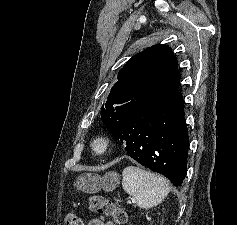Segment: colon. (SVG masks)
<instances>
[{"mask_svg": "<svg viewBox=\"0 0 237 225\" xmlns=\"http://www.w3.org/2000/svg\"><path fill=\"white\" fill-rule=\"evenodd\" d=\"M89 209L103 216H110L118 225H125L128 221L124 209L116 206L109 198L93 195L88 201ZM65 225H82L81 218L74 212H69L64 218Z\"/></svg>", "mask_w": 237, "mask_h": 225, "instance_id": "obj_1", "label": "colon"}]
</instances>
